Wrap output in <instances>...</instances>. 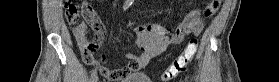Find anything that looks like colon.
Instances as JSON below:
<instances>
[{
	"mask_svg": "<svg viewBox=\"0 0 279 82\" xmlns=\"http://www.w3.org/2000/svg\"><path fill=\"white\" fill-rule=\"evenodd\" d=\"M221 1H210L209 4H220ZM65 19L69 25L84 29L86 27L84 21L92 28H98L101 20L86 1H71L65 6ZM198 48V39L191 38L188 45L185 46L182 53L177 56L173 62L164 70L162 81L168 82L179 73L183 72ZM114 76L119 74L113 73Z\"/></svg>",
	"mask_w": 279,
	"mask_h": 82,
	"instance_id": "5ec220e1",
	"label": "colon"
}]
</instances>
